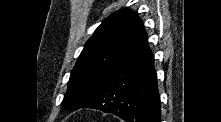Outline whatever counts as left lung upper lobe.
Instances as JSON below:
<instances>
[{"instance_id":"obj_1","label":"left lung upper lobe","mask_w":221,"mask_h":122,"mask_svg":"<svg viewBox=\"0 0 221 122\" xmlns=\"http://www.w3.org/2000/svg\"><path fill=\"white\" fill-rule=\"evenodd\" d=\"M138 18L131 10L107 17L87 41L68 82L63 109L86 104L120 59Z\"/></svg>"}]
</instances>
